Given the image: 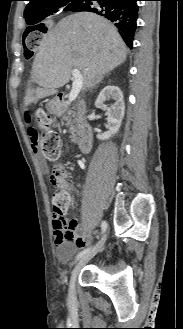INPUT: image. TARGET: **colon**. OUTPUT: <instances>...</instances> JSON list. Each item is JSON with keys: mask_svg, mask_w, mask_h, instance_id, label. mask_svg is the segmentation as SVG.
Masks as SVG:
<instances>
[{"mask_svg": "<svg viewBox=\"0 0 183 329\" xmlns=\"http://www.w3.org/2000/svg\"><path fill=\"white\" fill-rule=\"evenodd\" d=\"M51 25V19H42L41 25H26V31H20V44H22L27 59L31 58L37 49H43L42 39L46 38V32H51ZM36 119L41 129L40 131L37 128L31 129L32 141L39 146L44 158L55 161L60 155L59 136L55 131L46 128L50 118L43 110L37 112ZM59 175L60 172L54 169L50 176L54 185L52 192L53 215L59 218L65 228L71 229L73 225L66 219L71 205V196L68 188L56 180Z\"/></svg>", "mask_w": 183, "mask_h": 329, "instance_id": "1", "label": "colon"}]
</instances>
